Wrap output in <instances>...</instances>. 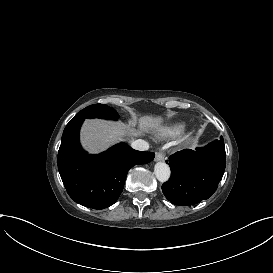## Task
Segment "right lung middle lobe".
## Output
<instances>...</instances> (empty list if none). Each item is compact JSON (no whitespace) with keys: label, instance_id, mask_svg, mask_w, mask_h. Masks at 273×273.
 <instances>
[{"label":"right lung middle lobe","instance_id":"dd1d6c3e","mask_svg":"<svg viewBox=\"0 0 273 273\" xmlns=\"http://www.w3.org/2000/svg\"><path fill=\"white\" fill-rule=\"evenodd\" d=\"M118 119V113L106 104H93L78 112L72 119L85 118Z\"/></svg>","mask_w":273,"mask_h":273}]
</instances>
